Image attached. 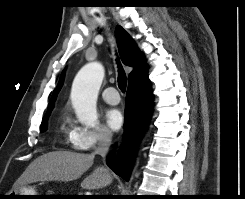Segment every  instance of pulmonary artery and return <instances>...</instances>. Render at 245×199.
<instances>
[{"mask_svg":"<svg viewBox=\"0 0 245 199\" xmlns=\"http://www.w3.org/2000/svg\"><path fill=\"white\" fill-rule=\"evenodd\" d=\"M102 98L105 102L111 105H116L120 102V96L114 87H107L102 91Z\"/></svg>","mask_w":245,"mask_h":199,"instance_id":"1","label":"pulmonary artery"}]
</instances>
